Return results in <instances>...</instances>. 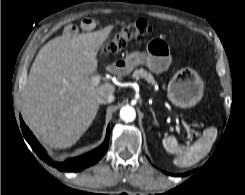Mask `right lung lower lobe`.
<instances>
[{
  "instance_id": "98d812e1",
  "label": "right lung lower lobe",
  "mask_w": 245,
  "mask_h": 195,
  "mask_svg": "<svg viewBox=\"0 0 245 195\" xmlns=\"http://www.w3.org/2000/svg\"><path fill=\"white\" fill-rule=\"evenodd\" d=\"M20 124H21V129H22V132H23V135L26 141L30 144V146L36 152V154L47 164L51 165L52 167L57 168L60 171L77 172L88 166L95 164L106 153L108 144H109V128H108L105 141L100 147L92 150L91 152L85 155H82L76 158L67 159L64 162H54L46 154V151L42 148V146L38 143V141L36 140L34 135L31 133V131L27 128L21 116H20Z\"/></svg>"
}]
</instances>
